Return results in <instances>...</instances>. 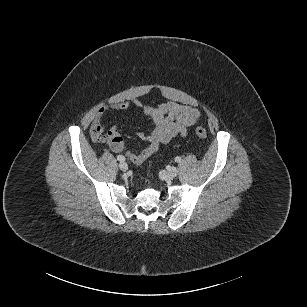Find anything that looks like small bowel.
<instances>
[{
  "mask_svg": "<svg viewBox=\"0 0 307 307\" xmlns=\"http://www.w3.org/2000/svg\"><path fill=\"white\" fill-rule=\"evenodd\" d=\"M134 105L141 109L152 123L151 133H139L140 139L145 142L143 150L139 153L126 151L127 157L134 164L143 163L157 152L160 145L168 144L177 137H185L188 129L194 126L200 117V112L196 108L172 101L155 107L144 106L140 102H135ZM129 107L128 101L102 107L92 122L91 138L96 142H108L109 133L117 132V128L112 127L107 133H104L103 118L105 114L109 110H126Z\"/></svg>",
  "mask_w": 307,
  "mask_h": 307,
  "instance_id": "c3829d8e",
  "label": "small bowel"
}]
</instances>
